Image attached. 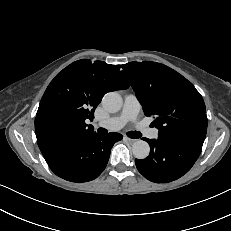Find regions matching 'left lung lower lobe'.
<instances>
[{
	"mask_svg": "<svg viewBox=\"0 0 231 231\" xmlns=\"http://www.w3.org/2000/svg\"><path fill=\"white\" fill-rule=\"evenodd\" d=\"M150 154L143 160L135 159L138 171L155 183H168L187 173L198 159L204 139L190 135L144 138Z\"/></svg>",
	"mask_w": 231,
	"mask_h": 231,
	"instance_id": "1",
	"label": "left lung lower lobe"
}]
</instances>
